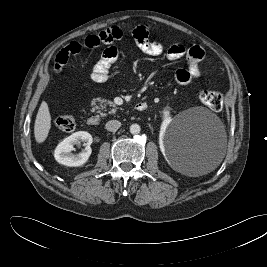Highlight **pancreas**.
Masks as SVG:
<instances>
[{
    "mask_svg": "<svg viewBox=\"0 0 267 267\" xmlns=\"http://www.w3.org/2000/svg\"><path fill=\"white\" fill-rule=\"evenodd\" d=\"M96 102H100V105L98 106ZM92 105L94 106L92 110L93 111L98 110V112H100V110L106 109L107 105L113 108L112 110L109 111V113H115L118 109L116 104L113 103L112 101L101 99V98L94 99L92 102Z\"/></svg>",
    "mask_w": 267,
    "mask_h": 267,
    "instance_id": "cf45deb5",
    "label": "pancreas"
}]
</instances>
